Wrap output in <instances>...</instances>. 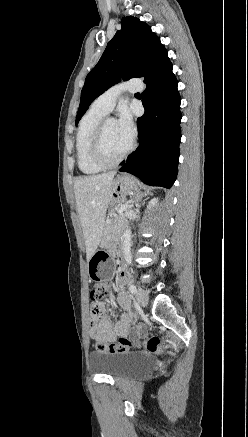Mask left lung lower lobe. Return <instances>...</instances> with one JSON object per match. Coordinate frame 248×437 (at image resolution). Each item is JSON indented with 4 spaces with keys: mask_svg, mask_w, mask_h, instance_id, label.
I'll return each instance as SVG.
<instances>
[{
    "mask_svg": "<svg viewBox=\"0 0 248 437\" xmlns=\"http://www.w3.org/2000/svg\"><path fill=\"white\" fill-rule=\"evenodd\" d=\"M172 68L170 62L145 82L142 102L149 113L137 119L139 147L119 170L165 188H170L177 176L181 139V98Z\"/></svg>",
    "mask_w": 248,
    "mask_h": 437,
    "instance_id": "1",
    "label": "left lung lower lobe"
}]
</instances>
